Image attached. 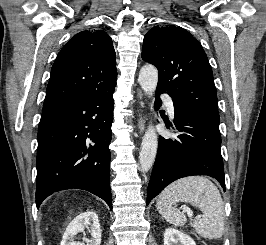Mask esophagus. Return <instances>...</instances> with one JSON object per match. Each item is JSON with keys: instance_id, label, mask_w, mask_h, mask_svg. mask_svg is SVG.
Listing matches in <instances>:
<instances>
[{"instance_id": "esophagus-1", "label": "esophagus", "mask_w": 266, "mask_h": 245, "mask_svg": "<svg viewBox=\"0 0 266 245\" xmlns=\"http://www.w3.org/2000/svg\"><path fill=\"white\" fill-rule=\"evenodd\" d=\"M145 124H146V119L144 117L140 116L138 119V128H139L141 133H143L145 130Z\"/></svg>"}]
</instances>
